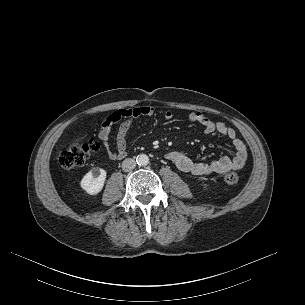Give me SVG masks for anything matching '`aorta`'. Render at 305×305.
<instances>
[{
	"label": "aorta",
	"mask_w": 305,
	"mask_h": 305,
	"mask_svg": "<svg viewBox=\"0 0 305 305\" xmlns=\"http://www.w3.org/2000/svg\"><path fill=\"white\" fill-rule=\"evenodd\" d=\"M136 162L139 166H146L149 163V157L146 154H139L136 157Z\"/></svg>",
	"instance_id": "obj_1"
}]
</instances>
